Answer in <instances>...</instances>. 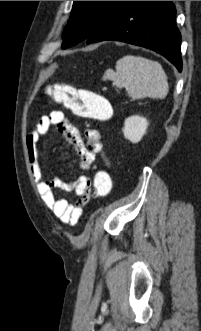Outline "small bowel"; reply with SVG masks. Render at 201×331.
<instances>
[{
	"label": "small bowel",
	"instance_id": "c3829d8e",
	"mask_svg": "<svg viewBox=\"0 0 201 331\" xmlns=\"http://www.w3.org/2000/svg\"><path fill=\"white\" fill-rule=\"evenodd\" d=\"M51 126L57 128L60 138L66 142L78 156V167L87 170L94 163L97 156H101L106 168L109 162L104 155L101 136L98 130L87 128L84 138L80 131L72 126L65 118L63 112L55 110L42 116L36 123L34 130L26 139L30 168L36 181L37 189L46 207L62 223L75 225L83 214V208L89 200L91 180L86 175H80L73 181L62 180L58 177L45 176L42 159L37 148L39 136L45 134ZM74 191L78 199L74 203L58 197L54 190Z\"/></svg>",
	"mask_w": 201,
	"mask_h": 331
}]
</instances>
